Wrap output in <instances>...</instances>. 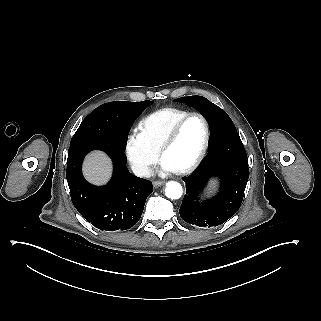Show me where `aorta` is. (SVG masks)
Wrapping results in <instances>:
<instances>
[{
  "label": "aorta",
  "instance_id": "1",
  "mask_svg": "<svg viewBox=\"0 0 321 321\" xmlns=\"http://www.w3.org/2000/svg\"><path fill=\"white\" fill-rule=\"evenodd\" d=\"M183 189L181 184L170 181L166 184L165 195L170 199H179L182 196Z\"/></svg>",
  "mask_w": 321,
  "mask_h": 321
}]
</instances>
